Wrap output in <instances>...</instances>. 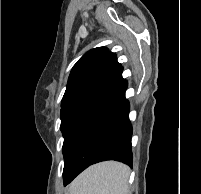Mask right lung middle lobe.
<instances>
[{
  "mask_svg": "<svg viewBox=\"0 0 201 194\" xmlns=\"http://www.w3.org/2000/svg\"><path fill=\"white\" fill-rule=\"evenodd\" d=\"M89 102L90 100H78L61 106V131L63 135L69 129L78 112Z\"/></svg>",
  "mask_w": 201,
  "mask_h": 194,
  "instance_id": "dd1d6c3e",
  "label": "right lung middle lobe"
}]
</instances>
